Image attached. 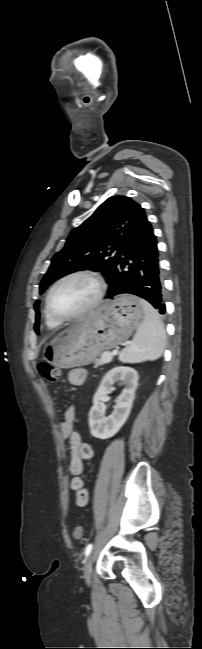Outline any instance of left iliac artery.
Instances as JSON below:
<instances>
[{
    "instance_id": "left-iliac-artery-1",
    "label": "left iliac artery",
    "mask_w": 202,
    "mask_h": 649,
    "mask_svg": "<svg viewBox=\"0 0 202 649\" xmlns=\"http://www.w3.org/2000/svg\"><path fill=\"white\" fill-rule=\"evenodd\" d=\"M92 548H93V545H92V544H88V545L86 546V548H85V555H86V556H88V555L91 553Z\"/></svg>"
}]
</instances>
